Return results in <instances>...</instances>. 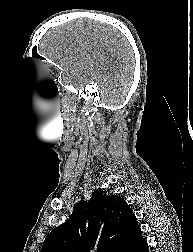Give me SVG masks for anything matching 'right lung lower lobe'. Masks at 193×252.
<instances>
[{"instance_id": "1", "label": "right lung lower lobe", "mask_w": 193, "mask_h": 252, "mask_svg": "<svg viewBox=\"0 0 193 252\" xmlns=\"http://www.w3.org/2000/svg\"><path fill=\"white\" fill-rule=\"evenodd\" d=\"M120 252H149L147 242L143 239L141 230L136 232Z\"/></svg>"}]
</instances>
